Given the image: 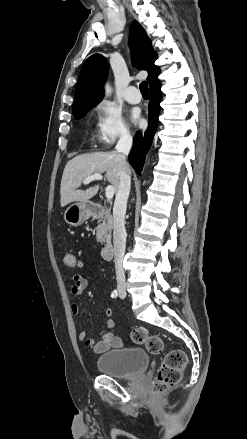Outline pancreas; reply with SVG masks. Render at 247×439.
<instances>
[{"instance_id": "pancreas-1", "label": "pancreas", "mask_w": 247, "mask_h": 439, "mask_svg": "<svg viewBox=\"0 0 247 439\" xmlns=\"http://www.w3.org/2000/svg\"><path fill=\"white\" fill-rule=\"evenodd\" d=\"M112 226L113 222L110 210H106L104 217L99 221L98 226L96 227V239L98 242H110Z\"/></svg>"}]
</instances>
